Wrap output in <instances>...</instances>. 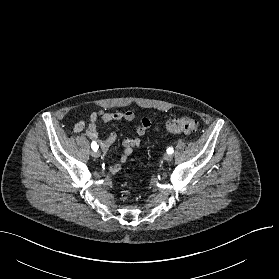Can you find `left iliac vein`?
Segmentation results:
<instances>
[{
    "label": "left iliac vein",
    "mask_w": 279,
    "mask_h": 279,
    "mask_svg": "<svg viewBox=\"0 0 279 279\" xmlns=\"http://www.w3.org/2000/svg\"><path fill=\"white\" fill-rule=\"evenodd\" d=\"M163 158L166 161H171L173 159V155L172 154H165Z\"/></svg>",
    "instance_id": "1"
}]
</instances>
